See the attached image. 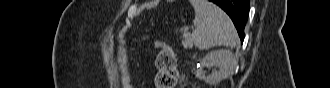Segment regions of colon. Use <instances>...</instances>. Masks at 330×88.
Returning <instances> with one entry per match:
<instances>
[{
	"mask_svg": "<svg viewBox=\"0 0 330 88\" xmlns=\"http://www.w3.org/2000/svg\"><path fill=\"white\" fill-rule=\"evenodd\" d=\"M156 47L159 49L156 59L158 70L155 80L156 87L174 88L177 82V69L172 49L164 41H158Z\"/></svg>",
	"mask_w": 330,
	"mask_h": 88,
	"instance_id": "obj_1",
	"label": "colon"
}]
</instances>
